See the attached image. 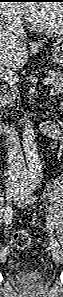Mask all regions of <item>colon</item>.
Wrapping results in <instances>:
<instances>
[{"label": "colon", "mask_w": 63, "mask_h": 297, "mask_svg": "<svg viewBox=\"0 0 63 297\" xmlns=\"http://www.w3.org/2000/svg\"><path fill=\"white\" fill-rule=\"evenodd\" d=\"M12 243L20 249L30 250L33 248V240L25 231L15 232L12 236Z\"/></svg>", "instance_id": "5ec220e1"}]
</instances>
